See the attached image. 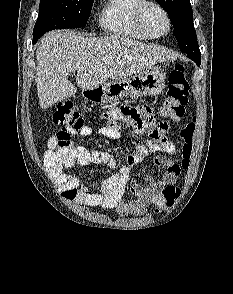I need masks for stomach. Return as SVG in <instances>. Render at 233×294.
<instances>
[{"label":"stomach","instance_id":"obj_1","mask_svg":"<svg viewBox=\"0 0 233 294\" xmlns=\"http://www.w3.org/2000/svg\"><path fill=\"white\" fill-rule=\"evenodd\" d=\"M166 75L158 67H149L128 78L114 80L94 90H83L86 98L104 104H113L126 97L138 99L156 96L165 87Z\"/></svg>","mask_w":233,"mask_h":294}]
</instances>
